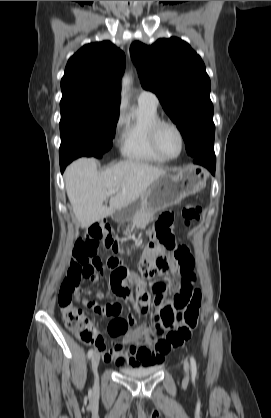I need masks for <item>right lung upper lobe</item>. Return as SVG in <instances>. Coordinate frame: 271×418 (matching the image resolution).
Listing matches in <instances>:
<instances>
[{"label":"right lung upper lobe","instance_id":"cb5924a9","mask_svg":"<svg viewBox=\"0 0 271 418\" xmlns=\"http://www.w3.org/2000/svg\"><path fill=\"white\" fill-rule=\"evenodd\" d=\"M125 54L109 41L83 46L68 61L61 80L60 104L83 102L95 106H120V79Z\"/></svg>","mask_w":271,"mask_h":418}]
</instances>
